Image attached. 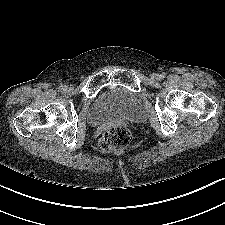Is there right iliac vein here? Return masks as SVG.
I'll list each match as a JSON object with an SVG mask.
<instances>
[{
    "mask_svg": "<svg viewBox=\"0 0 225 225\" xmlns=\"http://www.w3.org/2000/svg\"><path fill=\"white\" fill-rule=\"evenodd\" d=\"M66 89H67L68 91H71V90L73 89V87H72L71 85H68V86L66 87Z\"/></svg>",
    "mask_w": 225,
    "mask_h": 225,
    "instance_id": "right-iliac-vein-1",
    "label": "right iliac vein"
}]
</instances>
